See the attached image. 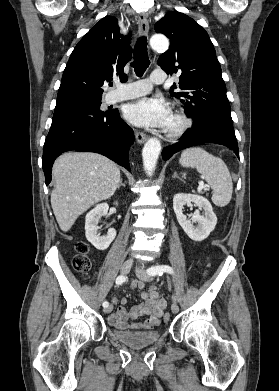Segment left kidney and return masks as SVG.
Returning a JSON list of instances; mask_svg holds the SVG:
<instances>
[{
    "label": "left kidney",
    "instance_id": "1",
    "mask_svg": "<svg viewBox=\"0 0 279 391\" xmlns=\"http://www.w3.org/2000/svg\"><path fill=\"white\" fill-rule=\"evenodd\" d=\"M191 202L198 206L199 209H203L204 214L201 215L197 211L194 213L192 220H189L182 210L185 204H190ZM173 209L180 226L188 237L194 241L206 239L217 224V217L210 202L202 196L178 193L173 197ZM193 222L198 223V226L195 227Z\"/></svg>",
    "mask_w": 279,
    "mask_h": 391
}]
</instances>
